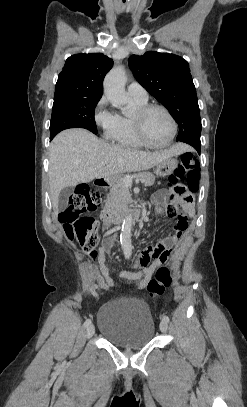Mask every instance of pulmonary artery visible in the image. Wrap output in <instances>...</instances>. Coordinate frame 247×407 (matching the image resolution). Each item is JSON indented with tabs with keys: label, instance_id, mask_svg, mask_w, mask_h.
I'll list each match as a JSON object with an SVG mask.
<instances>
[{
	"label": "pulmonary artery",
	"instance_id": "pulmonary-artery-1",
	"mask_svg": "<svg viewBox=\"0 0 247 407\" xmlns=\"http://www.w3.org/2000/svg\"><path fill=\"white\" fill-rule=\"evenodd\" d=\"M128 94L131 96L132 99L138 100V101H147L148 100V94L145 88L137 83V82H132L128 85L127 87Z\"/></svg>",
	"mask_w": 247,
	"mask_h": 407
}]
</instances>
